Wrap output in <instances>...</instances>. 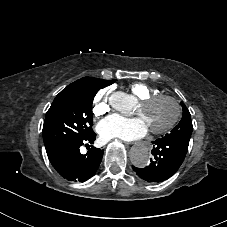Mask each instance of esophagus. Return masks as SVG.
<instances>
[{"instance_id": "34e87169", "label": "esophagus", "mask_w": 227, "mask_h": 227, "mask_svg": "<svg viewBox=\"0 0 227 227\" xmlns=\"http://www.w3.org/2000/svg\"><path fill=\"white\" fill-rule=\"evenodd\" d=\"M141 145H142V149H143V148L149 149V148L152 147L153 142H152L151 139L147 138L146 140H142Z\"/></svg>"}]
</instances>
